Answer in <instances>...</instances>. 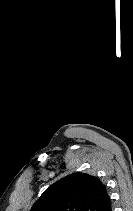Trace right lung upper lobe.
Returning <instances> with one entry per match:
<instances>
[{"mask_svg": "<svg viewBox=\"0 0 133 211\" xmlns=\"http://www.w3.org/2000/svg\"><path fill=\"white\" fill-rule=\"evenodd\" d=\"M30 211H111V202L97 177L73 173L52 184Z\"/></svg>", "mask_w": 133, "mask_h": 211, "instance_id": "cb5924a9", "label": "right lung upper lobe"}]
</instances>
